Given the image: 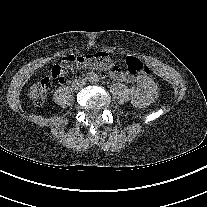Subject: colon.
Returning a JSON list of instances; mask_svg holds the SVG:
<instances>
[{
	"label": "colon",
	"instance_id": "1",
	"mask_svg": "<svg viewBox=\"0 0 207 207\" xmlns=\"http://www.w3.org/2000/svg\"><path fill=\"white\" fill-rule=\"evenodd\" d=\"M115 65L114 58L106 52H97L85 55H68L51 68L50 74L42 77L30 88V98L36 106L44 104L53 79H56L70 71H76L83 67L109 68ZM127 70L137 77H145L150 73L147 65L135 57L126 59Z\"/></svg>",
	"mask_w": 207,
	"mask_h": 207
}]
</instances>
